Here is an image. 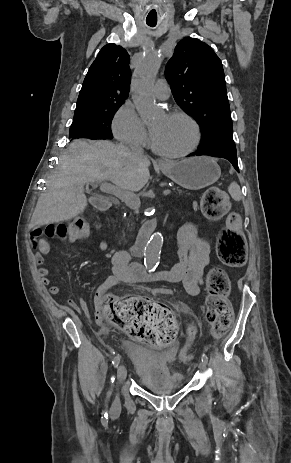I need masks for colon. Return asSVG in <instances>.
I'll list each match as a JSON object with an SVG mask.
<instances>
[{
	"label": "colon",
	"mask_w": 291,
	"mask_h": 463,
	"mask_svg": "<svg viewBox=\"0 0 291 463\" xmlns=\"http://www.w3.org/2000/svg\"><path fill=\"white\" fill-rule=\"evenodd\" d=\"M203 213L210 219L221 217L229 207L228 195L219 188H210L202 198ZM48 239H84L89 235V227L82 219L73 220L68 226L63 223L49 224L43 230ZM217 253L219 259L228 266L239 267L246 261V241L241 231V217L237 213L228 215L221 230ZM207 320L216 335H222L233 321V310L228 300L229 283L220 269L212 270L207 278ZM102 314L107 321L122 329L130 336L148 344L164 347L176 335V321L171 312L145 298L116 296L100 292L97 294Z\"/></svg>",
	"instance_id": "colon-1"
}]
</instances>
